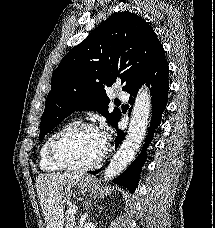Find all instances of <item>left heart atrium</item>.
<instances>
[{"label":"left heart atrium","instance_id":"left-heart-atrium-1","mask_svg":"<svg viewBox=\"0 0 215 228\" xmlns=\"http://www.w3.org/2000/svg\"><path fill=\"white\" fill-rule=\"evenodd\" d=\"M99 134L103 145L106 146L110 140L109 132L106 130H103V131H99Z\"/></svg>","mask_w":215,"mask_h":228}]
</instances>
